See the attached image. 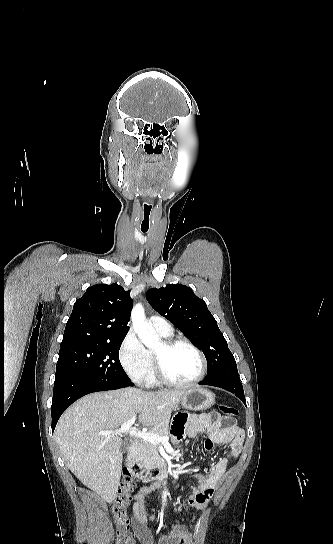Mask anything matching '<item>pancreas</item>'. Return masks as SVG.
<instances>
[{"instance_id":"obj_1","label":"pancreas","mask_w":333,"mask_h":544,"mask_svg":"<svg viewBox=\"0 0 333 544\" xmlns=\"http://www.w3.org/2000/svg\"><path fill=\"white\" fill-rule=\"evenodd\" d=\"M168 428H169V418L155 425L150 430V433L158 434L160 436H165L168 434ZM133 457L135 458L136 461L142 462L144 465H151L153 463L158 462L160 459L155 446L147 440H141V442L137 445L136 450L133 453Z\"/></svg>"}]
</instances>
